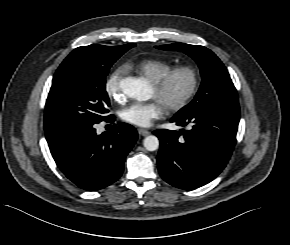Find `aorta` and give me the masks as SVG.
Here are the masks:
<instances>
[{
  "instance_id": "1",
  "label": "aorta",
  "mask_w": 290,
  "mask_h": 245,
  "mask_svg": "<svg viewBox=\"0 0 290 245\" xmlns=\"http://www.w3.org/2000/svg\"><path fill=\"white\" fill-rule=\"evenodd\" d=\"M123 93L139 101L148 100L151 96L150 86L144 78L129 77L121 82ZM144 147L148 151H155L159 148V140L156 136L150 135L144 139Z\"/></svg>"
}]
</instances>
